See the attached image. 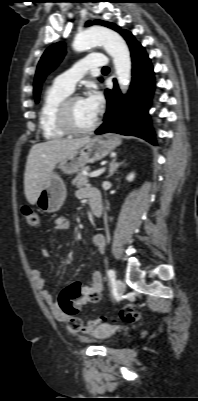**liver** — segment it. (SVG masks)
Returning a JSON list of instances; mask_svg holds the SVG:
<instances>
[{
  "instance_id": "6515ba94",
  "label": "liver",
  "mask_w": 198,
  "mask_h": 401,
  "mask_svg": "<svg viewBox=\"0 0 198 401\" xmlns=\"http://www.w3.org/2000/svg\"><path fill=\"white\" fill-rule=\"evenodd\" d=\"M90 137L54 139L37 143L30 149L24 173V191L27 201L34 205L56 164L70 157L88 143Z\"/></svg>"
}]
</instances>
